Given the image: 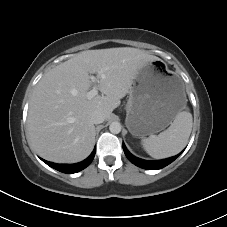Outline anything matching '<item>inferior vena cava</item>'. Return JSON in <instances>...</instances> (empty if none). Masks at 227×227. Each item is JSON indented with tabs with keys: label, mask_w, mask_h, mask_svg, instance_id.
I'll use <instances>...</instances> for the list:
<instances>
[{
	"label": "inferior vena cava",
	"mask_w": 227,
	"mask_h": 227,
	"mask_svg": "<svg viewBox=\"0 0 227 227\" xmlns=\"http://www.w3.org/2000/svg\"><path fill=\"white\" fill-rule=\"evenodd\" d=\"M104 120H105V116H104V114H103L101 111H99V110L94 111V112L92 113V115H91V122H92L93 124H100V123H102Z\"/></svg>",
	"instance_id": "inferior-vena-cava-1"
}]
</instances>
